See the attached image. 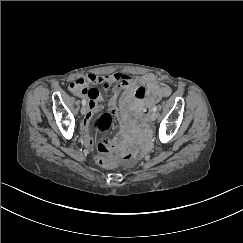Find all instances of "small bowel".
<instances>
[{"label":"small bowel","instance_id":"1","mask_svg":"<svg viewBox=\"0 0 243 243\" xmlns=\"http://www.w3.org/2000/svg\"><path fill=\"white\" fill-rule=\"evenodd\" d=\"M114 82L119 84L114 87V94L109 101V107L119 121L128 127H132L135 124L130 113L141 116L162 97L168 96L170 93V88L158 82L151 74L133 77L117 72L105 75L89 74L75 78L69 84V90L76 96L88 99L89 112L81 124L83 141L88 148L93 146V141L89 134V128L93 121L92 113L100 109L98 104L100 93L97 89L90 87V85L102 83L107 89ZM123 89H125V94L119 101L118 96Z\"/></svg>","mask_w":243,"mask_h":243}]
</instances>
